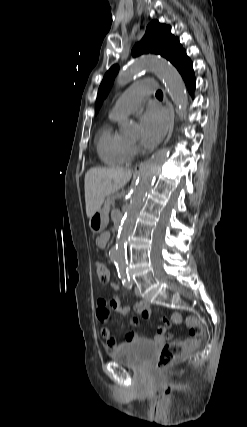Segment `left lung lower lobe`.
<instances>
[{"mask_svg":"<svg viewBox=\"0 0 247 427\" xmlns=\"http://www.w3.org/2000/svg\"><path fill=\"white\" fill-rule=\"evenodd\" d=\"M177 70L183 77L185 84L189 90L190 93H193V90L195 89V76L193 71V65L190 59H186L181 64H179L177 67Z\"/></svg>","mask_w":247,"mask_h":427,"instance_id":"left-lung-lower-lobe-1","label":"left lung lower lobe"}]
</instances>
